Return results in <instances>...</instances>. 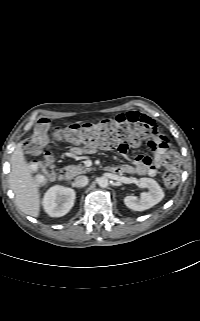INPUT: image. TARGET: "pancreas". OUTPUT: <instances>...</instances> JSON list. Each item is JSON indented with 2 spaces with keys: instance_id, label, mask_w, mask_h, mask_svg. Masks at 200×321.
Returning a JSON list of instances; mask_svg holds the SVG:
<instances>
[{
  "instance_id": "pancreas-1",
  "label": "pancreas",
  "mask_w": 200,
  "mask_h": 321,
  "mask_svg": "<svg viewBox=\"0 0 200 321\" xmlns=\"http://www.w3.org/2000/svg\"><path fill=\"white\" fill-rule=\"evenodd\" d=\"M68 170L73 174V175H79V174H84L87 173L89 171H91V168H88L86 166H83L81 164L79 165H71L68 166Z\"/></svg>"
}]
</instances>
